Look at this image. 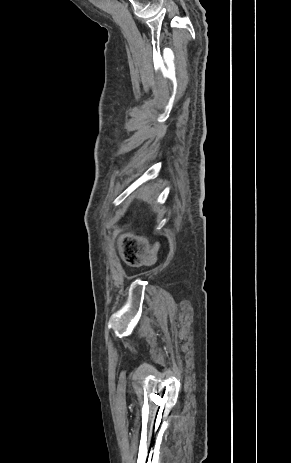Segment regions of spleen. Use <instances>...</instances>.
<instances>
[{
	"instance_id": "spleen-1",
	"label": "spleen",
	"mask_w": 291,
	"mask_h": 463,
	"mask_svg": "<svg viewBox=\"0 0 291 463\" xmlns=\"http://www.w3.org/2000/svg\"><path fill=\"white\" fill-rule=\"evenodd\" d=\"M156 185H146L142 187L137 193V197L140 198L141 200L148 202L152 204L155 199V191H156Z\"/></svg>"
}]
</instances>
